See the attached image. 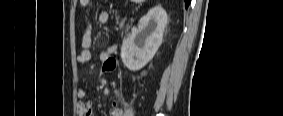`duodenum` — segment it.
Wrapping results in <instances>:
<instances>
[{"instance_id":"duodenum-1","label":"duodenum","mask_w":283,"mask_h":116,"mask_svg":"<svg viewBox=\"0 0 283 116\" xmlns=\"http://www.w3.org/2000/svg\"><path fill=\"white\" fill-rule=\"evenodd\" d=\"M124 26V24H123V22L120 24V27H123Z\"/></svg>"}]
</instances>
